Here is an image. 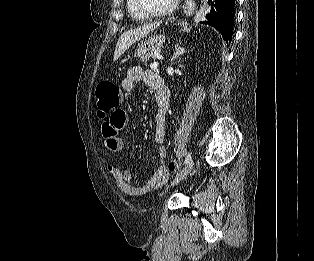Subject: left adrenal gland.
<instances>
[{
  "mask_svg": "<svg viewBox=\"0 0 314 261\" xmlns=\"http://www.w3.org/2000/svg\"><path fill=\"white\" fill-rule=\"evenodd\" d=\"M188 50L182 45H176L175 46V52L174 55L171 59V61L173 62L175 59H177L180 55L184 54L185 52H187Z\"/></svg>",
  "mask_w": 314,
  "mask_h": 261,
  "instance_id": "obj_1",
  "label": "left adrenal gland"
}]
</instances>
